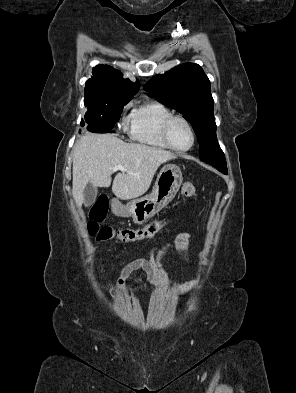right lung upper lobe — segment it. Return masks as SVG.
<instances>
[{
	"label": "right lung upper lobe",
	"instance_id": "obj_1",
	"mask_svg": "<svg viewBox=\"0 0 296 393\" xmlns=\"http://www.w3.org/2000/svg\"><path fill=\"white\" fill-rule=\"evenodd\" d=\"M92 77L85 84V100L105 101L113 99H128L139 90L137 80L132 83L124 79L123 74L108 65H97L93 68Z\"/></svg>",
	"mask_w": 296,
	"mask_h": 393
}]
</instances>
